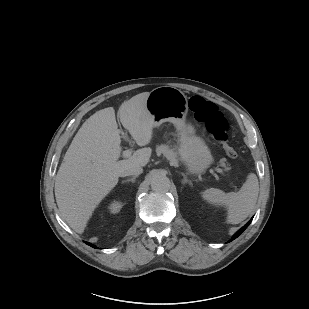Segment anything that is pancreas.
Wrapping results in <instances>:
<instances>
[{"instance_id": "pancreas-1", "label": "pancreas", "mask_w": 309, "mask_h": 309, "mask_svg": "<svg viewBox=\"0 0 309 309\" xmlns=\"http://www.w3.org/2000/svg\"><path fill=\"white\" fill-rule=\"evenodd\" d=\"M156 152L157 154H163V156H165L167 160H169L170 164H178L179 159L177 153L173 149H170L168 145L157 146ZM222 165H224V163H222Z\"/></svg>"}]
</instances>
